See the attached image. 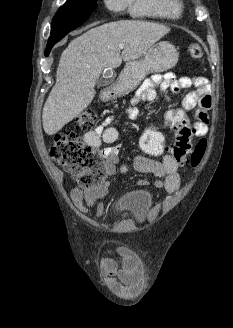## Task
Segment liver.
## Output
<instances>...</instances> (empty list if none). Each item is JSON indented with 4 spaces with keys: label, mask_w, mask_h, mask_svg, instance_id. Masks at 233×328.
<instances>
[{
    "label": "liver",
    "mask_w": 233,
    "mask_h": 328,
    "mask_svg": "<svg viewBox=\"0 0 233 328\" xmlns=\"http://www.w3.org/2000/svg\"><path fill=\"white\" fill-rule=\"evenodd\" d=\"M170 32V28L136 20H121L92 28L63 51L52 88L42 112L43 129L54 135L92 102L96 82L105 69L141 57ZM124 44V48H118Z\"/></svg>",
    "instance_id": "obj_1"
}]
</instances>
